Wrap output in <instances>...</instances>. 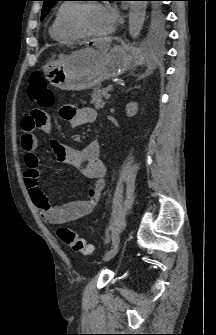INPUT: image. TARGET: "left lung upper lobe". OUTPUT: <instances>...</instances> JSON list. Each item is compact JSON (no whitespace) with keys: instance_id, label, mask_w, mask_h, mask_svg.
<instances>
[{"instance_id":"obj_1","label":"left lung upper lobe","mask_w":216,"mask_h":335,"mask_svg":"<svg viewBox=\"0 0 216 335\" xmlns=\"http://www.w3.org/2000/svg\"><path fill=\"white\" fill-rule=\"evenodd\" d=\"M44 1L41 19H43L47 13L52 9V7L56 4L59 0H41ZM150 3L146 9V16L148 21V26L150 31L153 34L161 35L164 30V14L161 9V5L159 1L162 0H147Z\"/></svg>"}]
</instances>
